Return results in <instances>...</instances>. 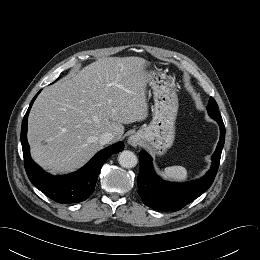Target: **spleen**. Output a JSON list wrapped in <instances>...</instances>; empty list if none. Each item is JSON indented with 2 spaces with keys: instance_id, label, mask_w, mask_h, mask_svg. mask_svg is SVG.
Masks as SVG:
<instances>
[{
  "instance_id": "obj_1",
  "label": "spleen",
  "mask_w": 260,
  "mask_h": 260,
  "mask_svg": "<svg viewBox=\"0 0 260 260\" xmlns=\"http://www.w3.org/2000/svg\"><path fill=\"white\" fill-rule=\"evenodd\" d=\"M162 174L166 179L173 181H185L188 178V172L182 166L166 167Z\"/></svg>"
}]
</instances>
